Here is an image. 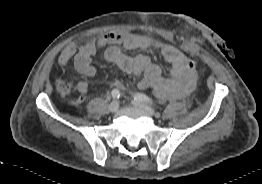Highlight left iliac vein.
I'll return each instance as SVG.
<instances>
[{"instance_id": "4c4485c4", "label": "left iliac vein", "mask_w": 262, "mask_h": 184, "mask_svg": "<svg viewBox=\"0 0 262 184\" xmlns=\"http://www.w3.org/2000/svg\"><path fill=\"white\" fill-rule=\"evenodd\" d=\"M132 104L138 108H140L141 110L145 111L148 115L150 116H155L156 113L155 111L147 104L141 102V101H138V100H133L132 101Z\"/></svg>"}]
</instances>
